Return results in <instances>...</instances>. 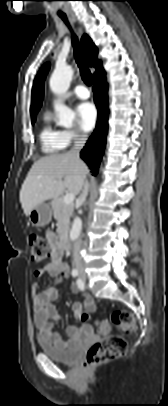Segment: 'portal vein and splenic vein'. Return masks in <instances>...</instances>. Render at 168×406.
Instances as JSON below:
<instances>
[{
  "label": "portal vein and splenic vein",
  "mask_w": 168,
  "mask_h": 406,
  "mask_svg": "<svg viewBox=\"0 0 168 406\" xmlns=\"http://www.w3.org/2000/svg\"><path fill=\"white\" fill-rule=\"evenodd\" d=\"M74 199H75V194H73V193H68V194H66V195L64 196L63 202H64L65 204H72L73 201H74Z\"/></svg>",
  "instance_id": "obj_1"
}]
</instances>
